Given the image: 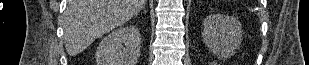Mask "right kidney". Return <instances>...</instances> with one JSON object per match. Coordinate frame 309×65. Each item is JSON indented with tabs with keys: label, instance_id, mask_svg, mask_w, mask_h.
<instances>
[{
	"label": "right kidney",
	"instance_id": "obj_1",
	"mask_svg": "<svg viewBox=\"0 0 309 65\" xmlns=\"http://www.w3.org/2000/svg\"><path fill=\"white\" fill-rule=\"evenodd\" d=\"M141 34L136 26L121 27L104 37L96 49L97 65H136Z\"/></svg>",
	"mask_w": 309,
	"mask_h": 65
}]
</instances>
